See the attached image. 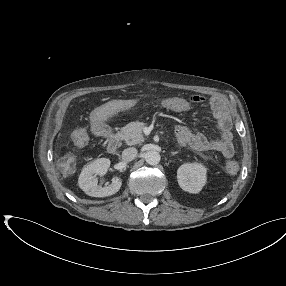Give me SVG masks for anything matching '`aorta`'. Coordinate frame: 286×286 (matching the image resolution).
Here are the masks:
<instances>
[{
	"label": "aorta",
	"mask_w": 286,
	"mask_h": 286,
	"mask_svg": "<svg viewBox=\"0 0 286 286\" xmlns=\"http://www.w3.org/2000/svg\"><path fill=\"white\" fill-rule=\"evenodd\" d=\"M145 160L149 165H157L160 160V154L157 151H148L145 154Z\"/></svg>",
	"instance_id": "1"
}]
</instances>
